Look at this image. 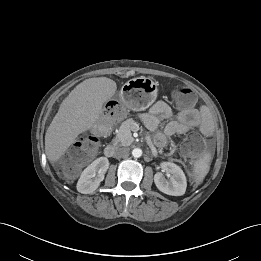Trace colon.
Returning <instances> with one entry per match:
<instances>
[{
	"mask_svg": "<svg viewBox=\"0 0 261 261\" xmlns=\"http://www.w3.org/2000/svg\"><path fill=\"white\" fill-rule=\"evenodd\" d=\"M172 93L176 102L181 106L188 107L195 102L194 93L183 85L174 86ZM106 112L115 119H120L124 115L123 110L120 107H108ZM101 133H106V130L99 129V132L86 136L78 143L76 147L71 149L62 158L61 167L66 174H75L80 169L81 165L93 156ZM198 146L197 138H192L184 143L183 150L188 155H195L198 151Z\"/></svg>",
	"mask_w": 261,
	"mask_h": 261,
	"instance_id": "5ec220e1",
	"label": "colon"
}]
</instances>
